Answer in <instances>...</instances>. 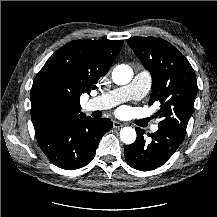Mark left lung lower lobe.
I'll use <instances>...</instances> for the list:
<instances>
[{
    "instance_id": "0a47b994",
    "label": "left lung lower lobe",
    "mask_w": 217,
    "mask_h": 217,
    "mask_svg": "<svg viewBox=\"0 0 217 217\" xmlns=\"http://www.w3.org/2000/svg\"><path fill=\"white\" fill-rule=\"evenodd\" d=\"M137 139L124 148L125 159L132 167L140 171H149L162 166L177 150L184 135L173 128L159 126L157 132L148 134L151 142L144 139V130L136 128Z\"/></svg>"
}]
</instances>
